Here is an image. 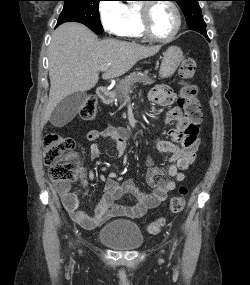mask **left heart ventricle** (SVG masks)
Instances as JSON below:
<instances>
[{
	"instance_id": "obj_1",
	"label": "left heart ventricle",
	"mask_w": 250,
	"mask_h": 285,
	"mask_svg": "<svg viewBox=\"0 0 250 285\" xmlns=\"http://www.w3.org/2000/svg\"><path fill=\"white\" fill-rule=\"evenodd\" d=\"M151 29L156 36H169L176 26V15L165 3H157L151 9Z\"/></svg>"
}]
</instances>
